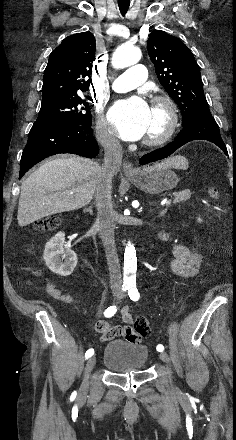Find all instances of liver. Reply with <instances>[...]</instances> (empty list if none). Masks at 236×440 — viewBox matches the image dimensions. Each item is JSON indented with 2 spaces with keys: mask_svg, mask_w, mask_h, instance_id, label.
I'll list each match as a JSON object with an SVG mask.
<instances>
[{
  "mask_svg": "<svg viewBox=\"0 0 236 440\" xmlns=\"http://www.w3.org/2000/svg\"><path fill=\"white\" fill-rule=\"evenodd\" d=\"M185 160L173 157L157 166L181 168ZM100 173L98 163L76 156L44 163L22 183L17 215L19 226L88 205Z\"/></svg>",
  "mask_w": 236,
  "mask_h": 440,
  "instance_id": "1",
  "label": "liver"
}]
</instances>
